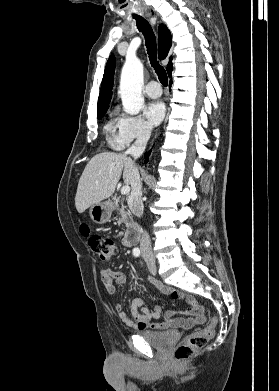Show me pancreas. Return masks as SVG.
<instances>
[{
    "mask_svg": "<svg viewBox=\"0 0 279 391\" xmlns=\"http://www.w3.org/2000/svg\"><path fill=\"white\" fill-rule=\"evenodd\" d=\"M118 215V224L124 223L126 227L130 226V213L125 210V207L120 208Z\"/></svg>",
    "mask_w": 279,
    "mask_h": 391,
    "instance_id": "1",
    "label": "pancreas"
}]
</instances>
